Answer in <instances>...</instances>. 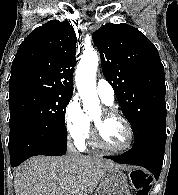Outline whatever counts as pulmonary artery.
Listing matches in <instances>:
<instances>
[{"label":"pulmonary artery","instance_id":"1","mask_svg":"<svg viewBox=\"0 0 178 195\" xmlns=\"http://www.w3.org/2000/svg\"><path fill=\"white\" fill-rule=\"evenodd\" d=\"M96 91L100 99L107 105L114 103L115 92L111 84L105 80L100 79L96 84Z\"/></svg>","mask_w":178,"mask_h":195}]
</instances>
